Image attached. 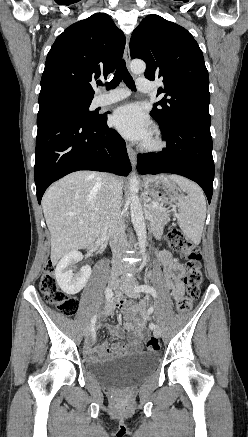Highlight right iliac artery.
Instances as JSON below:
<instances>
[{
    "label": "right iliac artery",
    "instance_id": "82829eb1",
    "mask_svg": "<svg viewBox=\"0 0 248 437\" xmlns=\"http://www.w3.org/2000/svg\"><path fill=\"white\" fill-rule=\"evenodd\" d=\"M112 295H113L112 289L107 287L106 290H105V296H106V301L107 302H109L111 300ZM96 317H97L96 315H94L92 317L91 324H90L92 335H94V336H95L94 326H95V323H96Z\"/></svg>",
    "mask_w": 248,
    "mask_h": 437
}]
</instances>
